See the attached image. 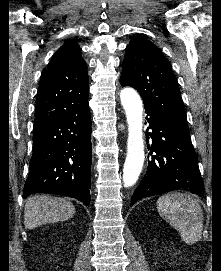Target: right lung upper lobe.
Segmentation results:
<instances>
[{
  "label": "right lung upper lobe",
  "mask_w": 221,
  "mask_h": 271,
  "mask_svg": "<svg viewBox=\"0 0 221 271\" xmlns=\"http://www.w3.org/2000/svg\"><path fill=\"white\" fill-rule=\"evenodd\" d=\"M88 81L78 43H64L42 71L34 127L88 108Z\"/></svg>",
  "instance_id": "obj_1"
}]
</instances>
